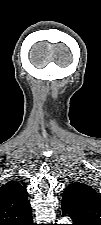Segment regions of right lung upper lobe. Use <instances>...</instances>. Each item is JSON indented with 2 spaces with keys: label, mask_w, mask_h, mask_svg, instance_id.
I'll use <instances>...</instances> for the list:
<instances>
[{
  "label": "right lung upper lobe",
  "mask_w": 101,
  "mask_h": 225,
  "mask_svg": "<svg viewBox=\"0 0 101 225\" xmlns=\"http://www.w3.org/2000/svg\"><path fill=\"white\" fill-rule=\"evenodd\" d=\"M0 225H33L27 191L19 182L0 187Z\"/></svg>",
  "instance_id": "1"
}]
</instances>
